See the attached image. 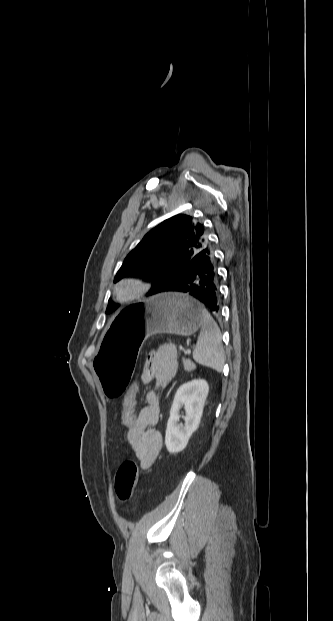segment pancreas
I'll return each instance as SVG.
<instances>
[{"mask_svg":"<svg viewBox=\"0 0 333 621\" xmlns=\"http://www.w3.org/2000/svg\"><path fill=\"white\" fill-rule=\"evenodd\" d=\"M183 364L184 369L188 372H191L196 368L195 364L190 359H184Z\"/></svg>","mask_w":333,"mask_h":621,"instance_id":"pancreas-1","label":"pancreas"}]
</instances>
